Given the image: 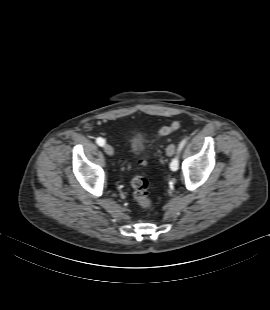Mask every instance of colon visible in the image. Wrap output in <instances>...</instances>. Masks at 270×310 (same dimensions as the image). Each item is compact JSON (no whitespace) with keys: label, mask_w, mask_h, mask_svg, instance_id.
<instances>
[{"label":"colon","mask_w":270,"mask_h":310,"mask_svg":"<svg viewBox=\"0 0 270 310\" xmlns=\"http://www.w3.org/2000/svg\"><path fill=\"white\" fill-rule=\"evenodd\" d=\"M179 124L173 122L168 126H164L160 129L159 135L166 136L178 128ZM147 164L146 160L140 161V166L145 167ZM133 196L136 203L144 210H148L151 207V199L149 197V184L146 177L143 175H137L132 180Z\"/></svg>","instance_id":"5ec220e1"}]
</instances>
